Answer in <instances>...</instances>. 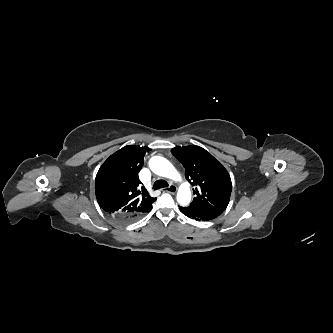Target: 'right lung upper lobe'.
Segmentation results:
<instances>
[{
    "instance_id": "1",
    "label": "right lung upper lobe",
    "mask_w": 333,
    "mask_h": 333,
    "mask_svg": "<svg viewBox=\"0 0 333 333\" xmlns=\"http://www.w3.org/2000/svg\"><path fill=\"white\" fill-rule=\"evenodd\" d=\"M148 148L127 145L112 154L100 167L95 179L99 206L110 216L142 215L156 200L144 186L138 173Z\"/></svg>"
}]
</instances>
